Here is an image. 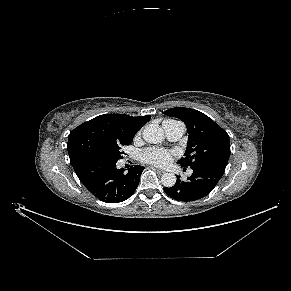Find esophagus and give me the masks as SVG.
<instances>
[{
  "label": "esophagus",
  "instance_id": "1",
  "mask_svg": "<svg viewBox=\"0 0 291 291\" xmlns=\"http://www.w3.org/2000/svg\"><path fill=\"white\" fill-rule=\"evenodd\" d=\"M154 171H156L158 174H163L165 173V171L161 170V169H158V168H152Z\"/></svg>",
  "mask_w": 291,
  "mask_h": 291
}]
</instances>
